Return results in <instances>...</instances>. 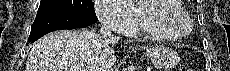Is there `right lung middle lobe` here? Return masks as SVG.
<instances>
[{"instance_id":"dd1d6c3e","label":"right lung middle lobe","mask_w":230,"mask_h":71,"mask_svg":"<svg viewBox=\"0 0 230 71\" xmlns=\"http://www.w3.org/2000/svg\"><path fill=\"white\" fill-rule=\"evenodd\" d=\"M60 13L83 14L97 18L92 0H41L37 15Z\"/></svg>"}]
</instances>
